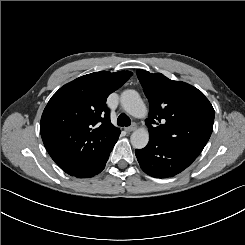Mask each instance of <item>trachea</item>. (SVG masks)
I'll list each match as a JSON object with an SVG mask.
<instances>
[{"mask_svg":"<svg viewBox=\"0 0 245 245\" xmlns=\"http://www.w3.org/2000/svg\"><path fill=\"white\" fill-rule=\"evenodd\" d=\"M117 123L119 126H130L131 125V120L130 118L125 115V114H121L119 117H118V120H117Z\"/></svg>","mask_w":245,"mask_h":245,"instance_id":"trachea-1","label":"trachea"}]
</instances>
